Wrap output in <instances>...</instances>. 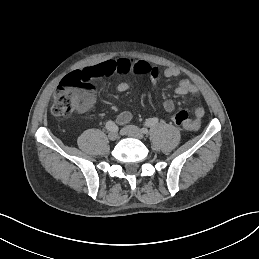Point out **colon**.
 <instances>
[{"mask_svg": "<svg viewBox=\"0 0 259 259\" xmlns=\"http://www.w3.org/2000/svg\"><path fill=\"white\" fill-rule=\"evenodd\" d=\"M93 86L84 81L78 71L67 74L57 87L51 112L54 116L64 118L75 110H85L93 102ZM171 120L178 126H185L189 121L186 111H174L170 114Z\"/></svg>", "mask_w": 259, "mask_h": 259, "instance_id": "colon-1", "label": "colon"}]
</instances>
